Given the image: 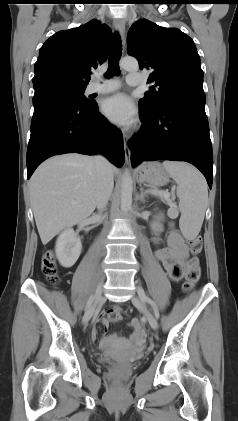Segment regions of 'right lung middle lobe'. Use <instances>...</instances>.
Here are the masks:
<instances>
[{
	"mask_svg": "<svg viewBox=\"0 0 238 421\" xmlns=\"http://www.w3.org/2000/svg\"><path fill=\"white\" fill-rule=\"evenodd\" d=\"M43 88H51L55 89L57 91L70 94L74 96L78 101L85 105H91L93 101L89 100L84 95V91L86 87H80V86H74V85H68V84H60V83H50V84H44L41 86L34 87L35 91L43 89Z\"/></svg>",
	"mask_w": 238,
	"mask_h": 421,
	"instance_id": "1",
	"label": "right lung middle lobe"
}]
</instances>
